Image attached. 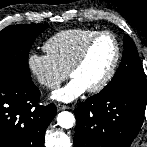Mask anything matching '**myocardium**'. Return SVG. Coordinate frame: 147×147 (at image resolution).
I'll use <instances>...</instances> for the list:
<instances>
[{"label":"myocardium","mask_w":147,"mask_h":147,"mask_svg":"<svg viewBox=\"0 0 147 147\" xmlns=\"http://www.w3.org/2000/svg\"><path fill=\"white\" fill-rule=\"evenodd\" d=\"M102 36H110L112 38L114 45H115V56L111 64V67L108 70L105 77L98 84L88 89V91L91 93H97L105 89L109 85V83L112 81V79L114 78L116 74V71H117V68L119 66L120 59H121V46H120V42L118 38L116 37V35L111 31H98L97 33H95L83 45L76 59L74 60V62L69 68V75L72 76L73 73L85 62L89 54V51L91 47L93 46V44L95 43V41Z\"/></svg>","instance_id":"1"}]
</instances>
